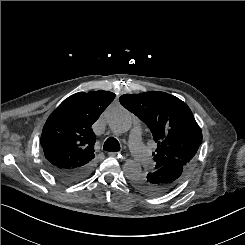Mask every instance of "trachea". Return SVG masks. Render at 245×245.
Here are the masks:
<instances>
[{
    "mask_svg": "<svg viewBox=\"0 0 245 245\" xmlns=\"http://www.w3.org/2000/svg\"><path fill=\"white\" fill-rule=\"evenodd\" d=\"M103 149L106 151H110V152L120 151V144H119L118 140L115 139L114 137H109L105 141Z\"/></svg>",
    "mask_w": 245,
    "mask_h": 245,
    "instance_id": "obj_1",
    "label": "trachea"
}]
</instances>
